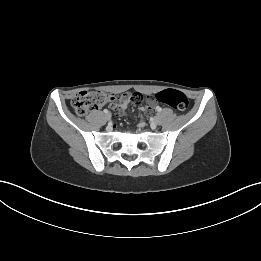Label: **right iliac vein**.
<instances>
[{"mask_svg":"<svg viewBox=\"0 0 261 261\" xmlns=\"http://www.w3.org/2000/svg\"><path fill=\"white\" fill-rule=\"evenodd\" d=\"M105 117H106L107 120H110L111 119V113L110 112L106 113Z\"/></svg>","mask_w":261,"mask_h":261,"instance_id":"right-iliac-vein-1","label":"right iliac vein"}]
</instances>
